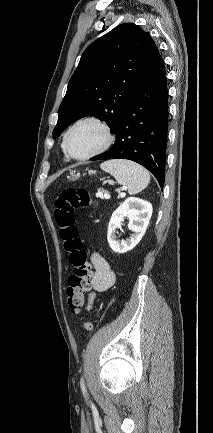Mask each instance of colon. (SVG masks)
<instances>
[{
	"mask_svg": "<svg viewBox=\"0 0 213 433\" xmlns=\"http://www.w3.org/2000/svg\"><path fill=\"white\" fill-rule=\"evenodd\" d=\"M92 206V200L85 189L67 188L55 201L54 217L59 228V236L68 260L74 271L68 278L66 289L67 305L71 313L78 314L84 304L86 293L90 290L92 276L91 266L87 260V253L79 237V230L75 226V212ZM84 329L91 331L93 324L84 322Z\"/></svg>",
	"mask_w": 213,
	"mask_h": 433,
	"instance_id": "5ec220e1",
	"label": "colon"
}]
</instances>
